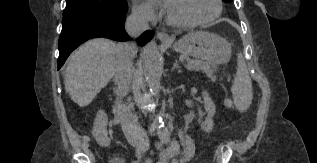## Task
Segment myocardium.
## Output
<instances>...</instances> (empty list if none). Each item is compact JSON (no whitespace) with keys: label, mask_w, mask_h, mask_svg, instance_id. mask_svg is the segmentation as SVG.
Wrapping results in <instances>:
<instances>
[{"label":"myocardium","mask_w":317,"mask_h":163,"mask_svg":"<svg viewBox=\"0 0 317 163\" xmlns=\"http://www.w3.org/2000/svg\"><path fill=\"white\" fill-rule=\"evenodd\" d=\"M221 13H222V0H215V12L211 16H209L205 19L195 20V21H191V22H183V21H178V20L174 19L169 14L167 9L165 7L163 8V14H164V18H165L166 22L169 25L174 26V27H178V28H194L197 26L209 24V23L215 21L217 18H219Z\"/></svg>","instance_id":"myocardium-1"}]
</instances>
